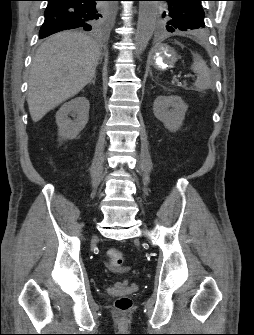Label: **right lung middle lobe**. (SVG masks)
<instances>
[{
  "instance_id": "dd1d6c3e",
  "label": "right lung middle lobe",
  "mask_w": 254,
  "mask_h": 335,
  "mask_svg": "<svg viewBox=\"0 0 254 335\" xmlns=\"http://www.w3.org/2000/svg\"><path fill=\"white\" fill-rule=\"evenodd\" d=\"M106 18V10L99 8V13L97 14L96 26L100 25L101 22Z\"/></svg>"
}]
</instances>
